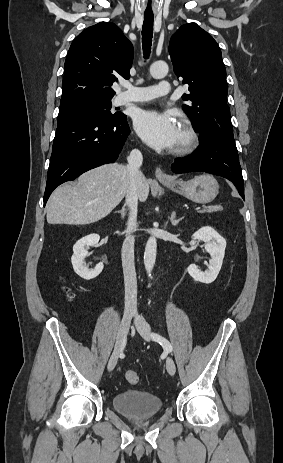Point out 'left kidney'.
<instances>
[{
  "label": "left kidney",
  "instance_id": "5707ae66",
  "mask_svg": "<svg viewBox=\"0 0 283 463\" xmlns=\"http://www.w3.org/2000/svg\"><path fill=\"white\" fill-rule=\"evenodd\" d=\"M192 238L205 243V250L210 254L211 259L207 271H200L195 264H190L187 271L195 281L212 283L217 278L223 263L226 240L210 226L200 228Z\"/></svg>",
  "mask_w": 283,
  "mask_h": 463
}]
</instances>
